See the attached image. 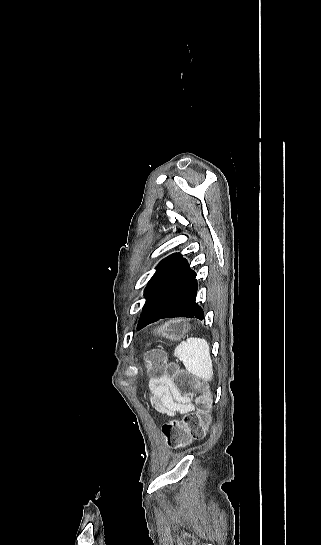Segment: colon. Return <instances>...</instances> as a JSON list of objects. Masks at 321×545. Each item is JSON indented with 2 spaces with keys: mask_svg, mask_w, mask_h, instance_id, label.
<instances>
[{
  "mask_svg": "<svg viewBox=\"0 0 321 545\" xmlns=\"http://www.w3.org/2000/svg\"><path fill=\"white\" fill-rule=\"evenodd\" d=\"M147 368L153 378L169 377L175 392L196 400L195 411L188 412L182 419L163 424L162 433L167 445L182 448L194 440L203 439L210 427L213 405L207 386L190 377L176 364L164 362L160 356H150Z\"/></svg>",
  "mask_w": 321,
  "mask_h": 545,
  "instance_id": "1",
  "label": "colon"
}]
</instances>
